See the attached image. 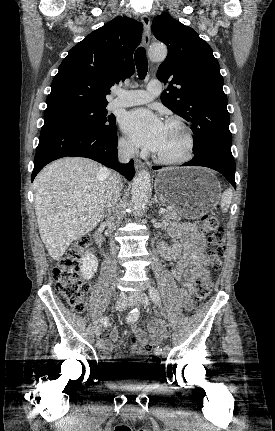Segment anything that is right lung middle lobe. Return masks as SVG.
<instances>
[{
  "mask_svg": "<svg viewBox=\"0 0 275 431\" xmlns=\"http://www.w3.org/2000/svg\"><path fill=\"white\" fill-rule=\"evenodd\" d=\"M105 105L81 106L44 113V124L71 123L89 129L112 131L116 126L114 115H108Z\"/></svg>",
  "mask_w": 275,
  "mask_h": 431,
  "instance_id": "obj_1",
  "label": "right lung middle lobe"
}]
</instances>
